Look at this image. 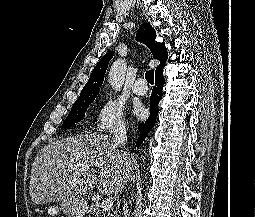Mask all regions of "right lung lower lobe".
<instances>
[{"instance_id": "right-lung-lower-lobe-1", "label": "right lung lower lobe", "mask_w": 255, "mask_h": 217, "mask_svg": "<svg viewBox=\"0 0 255 217\" xmlns=\"http://www.w3.org/2000/svg\"><path fill=\"white\" fill-rule=\"evenodd\" d=\"M155 86L152 90L151 101H150V116L145 121L138 126V130L141 134L140 138L137 140L136 146L139 148L141 143L144 141L150 130L153 128L157 115H158V103L162 98V89L164 85L163 71L156 74Z\"/></svg>"}]
</instances>
